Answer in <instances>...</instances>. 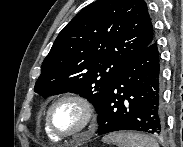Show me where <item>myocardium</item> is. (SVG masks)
<instances>
[{
	"instance_id": "1",
	"label": "myocardium",
	"mask_w": 183,
	"mask_h": 147,
	"mask_svg": "<svg viewBox=\"0 0 183 147\" xmlns=\"http://www.w3.org/2000/svg\"><path fill=\"white\" fill-rule=\"evenodd\" d=\"M64 101L76 102L77 104H79L82 107V109L84 110V113H85V120H84L83 125L76 131H73L70 133L57 132L53 128L52 122H51L52 110L54 109L55 106H57L59 103L64 102ZM95 121H96V112H95L93 103L87 97L80 95V94H75V93L64 94V95L58 97L56 100H54L51 103V105L49 106V108L47 109L46 117H45V123H46V126H47L48 130L50 131V133L53 136H55L56 138L61 139V140L75 137V136L83 133L84 131L89 129L95 123Z\"/></svg>"
}]
</instances>
